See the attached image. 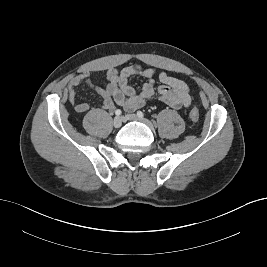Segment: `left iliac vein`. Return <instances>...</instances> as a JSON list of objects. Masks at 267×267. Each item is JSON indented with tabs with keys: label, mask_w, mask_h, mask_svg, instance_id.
Here are the masks:
<instances>
[{
	"label": "left iliac vein",
	"mask_w": 267,
	"mask_h": 267,
	"mask_svg": "<svg viewBox=\"0 0 267 267\" xmlns=\"http://www.w3.org/2000/svg\"><path fill=\"white\" fill-rule=\"evenodd\" d=\"M126 119L127 120H130V121L142 122V123L146 124L150 129H153V127H154L153 124L149 120L144 119V118H140V117H138L135 114H128V115H126Z\"/></svg>",
	"instance_id": "obj_1"
}]
</instances>
